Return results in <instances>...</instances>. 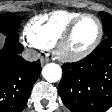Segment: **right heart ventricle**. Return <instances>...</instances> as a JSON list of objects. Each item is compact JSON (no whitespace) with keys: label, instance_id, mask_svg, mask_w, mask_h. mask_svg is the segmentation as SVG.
Instances as JSON below:
<instances>
[{"label":"right heart ventricle","instance_id":"right-heart-ventricle-1","mask_svg":"<svg viewBox=\"0 0 112 112\" xmlns=\"http://www.w3.org/2000/svg\"><path fill=\"white\" fill-rule=\"evenodd\" d=\"M80 14L82 13L69 10L40 14L29 21L26 30L43 48H51L68 24Z\"/></svg>","mask_w":112,"mask_h":112}]
</instances>
